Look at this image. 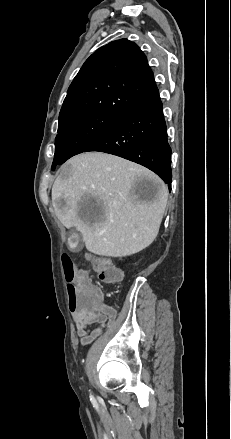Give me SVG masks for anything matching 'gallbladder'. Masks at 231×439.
<instances>
[{
  "mask_svg": "<svg viewBox=\"0 0 231 439\" xmlns=\"http://www.w3.org/2000/svg\"><path fill=\"white\" fill-rule=\"evenodd\" d=\"M68 245L72 250L79 251L82 248V244H80V237L75 232V230H72L69 238H68Z\"/></svg>",
  "mask_w": 231,
  "mask_h": 439,
  "instance_id": "obj_1",
  "label": "gallbladder"
}]
</instances>
